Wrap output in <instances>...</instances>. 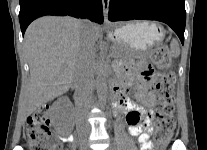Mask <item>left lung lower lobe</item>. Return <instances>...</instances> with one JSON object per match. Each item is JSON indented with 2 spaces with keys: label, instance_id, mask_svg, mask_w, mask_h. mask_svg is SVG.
Listing matches in <instances>:
<instances>
[{
  "label": "left lung lower lobe",
  "instance_id": "0a47b994",
  "mask_svg": "<svg viewBox=\"0 0 207 150\" xmlns=\"http://www.w3.org/2000/svg\"><path fill=\"white\" fill-rule=\"evenodd\" d=\"M185 0H110V21L157 20L168 24L184 42ZM107 2V1H105Z\"/></svg>",
  "mask_w": 207,
  "mask_h": 150
}]
</instances>
